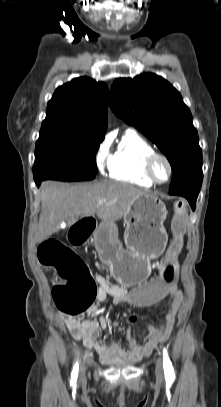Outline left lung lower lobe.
I'll return each mask as SVG.
<instances>
[{"mask_svg":"<svg viewBox=\"0 0 221 407\" xmlns=\"http://www.w3.org/2000/svg\"><path fill=\"white\" fill-rule=\"evenodd\" d=\"M203 173L193 176L190 179L183 181L173 189L169 190L170 195H178L185 197L192 209H195L196 199L198 197L202 185Z\"/></svg>","mask_w":221,"mask_h":407,"instance_id":"1","label":"left lung lower lobe"}]
</instances>
